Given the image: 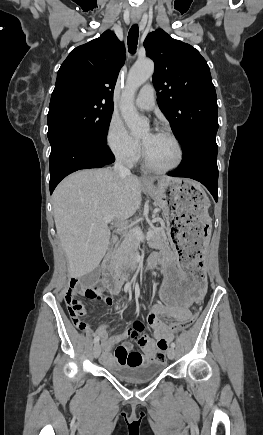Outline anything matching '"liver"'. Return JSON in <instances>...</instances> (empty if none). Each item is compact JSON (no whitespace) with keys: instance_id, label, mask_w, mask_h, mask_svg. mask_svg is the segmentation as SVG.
Here are the masks:
<instances>
[{"instance_id":"liver-1","label":"liver","mask_w":263,"mask_h":435,"mask_svg":"<svg viewBox=\"0 0 263 435\" xmlns=\"http://www.w3.org/2000/svg\"><path fill=\"white\" fill-rule=\"evenodd\" d=\"M141 200V182L137 177L118 178L106 168L78 171L56 187L54 220L68 259L70 278L90 273L106 254L111 231L101 220L112 217L115 222H122L135 214Z\"/></svg>"}]
</instances>
